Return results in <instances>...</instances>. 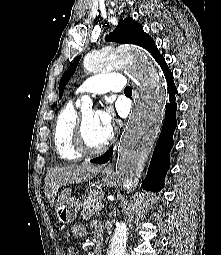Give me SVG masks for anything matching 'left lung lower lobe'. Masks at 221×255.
I'll use <instances>...</instances> for the list:
<instances>
[{"label":"left lung lower lobe","instance_id":"0a47b994","mask_svg":"<svg viewBox=\"0 0 221 255\" xmlns=\"http://www.w3.org/2000/svg\"><path fill=\"white\" fill-rule=\"evenodd\" d=\"M152 56L164 71L168 84V92L170 95L169 100L171 102L166 107L165 120L161 134L153 152L148 174L142 184V187L145 189L158 191L163 187L165 173L169 169L170 165L169 152L173 147V133L176 128L175 114L177 105L174 102L176 87L173 83V74L169 70L165 59L158 50ZM112 154L113 149H109L102 156L92 159L91 162L104 164L110 159Z\"/></svg>","mask_w":221,"mask_h":255}]
</instances>
